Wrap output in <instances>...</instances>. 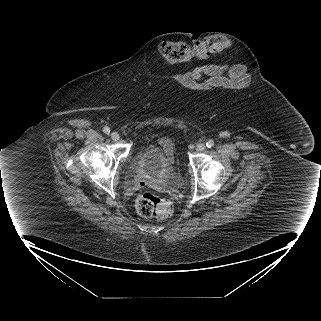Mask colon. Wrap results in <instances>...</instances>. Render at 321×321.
Instances as JSON below:
<instances>
[{
    "label": "colon",
    "instance_id": "obj_1",
    "mask_svg": "<svg viewBox=\"0 0 321 321\" xmlns=\"http://www.w3.org/2000/svg\"><path fill=\"white\" fill-rule=\"evenodd\" d=\"M228 45L227 38L212 36L193 46L185 42H164L159 51L166 63L177 65L188 63L194 59H206L210 55L226 49ZM135 207L138 214L144 218L165 219L173 213V204L169 200L149 192L137 197Z\"/></svg>",
    "mask_w": 321,
    "mask_h": 321
}]
</instances>
